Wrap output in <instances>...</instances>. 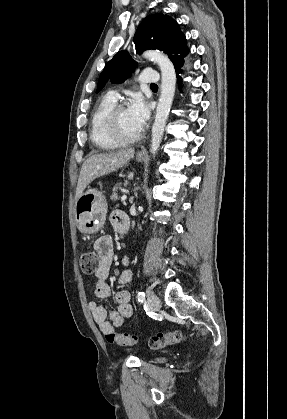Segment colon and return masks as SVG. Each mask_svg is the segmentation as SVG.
<instances>
[{
	"label": "colon",
	"mask_w": 287,
	"mask_h": 419,
	"mask_svg": "<svg viewBox=\"0 0 287 419\" xmlns=\"http://www.w3.org/2000/svg\"><path fill=\"white\" fill-rule=\"evenodd\" d=\"M100 265V256L94 250H86L80 256V267L84 274L92 275L97 272ZM108 342L120 346H131L136 343L137 337L128 333H108L106 334ZM185 337L180 331H172L167 333H159L154 335L149 346L152 349H161L167 346L181 343Z\"/></svg>",
	"instance_id": "5ec220e1"
}]
</instances>
